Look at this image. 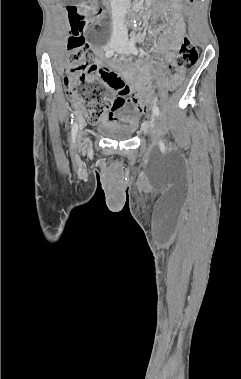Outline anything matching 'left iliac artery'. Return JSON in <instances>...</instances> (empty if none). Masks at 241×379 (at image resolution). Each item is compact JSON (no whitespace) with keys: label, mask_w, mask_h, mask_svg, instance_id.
<instances>
[{"label":"left iliac artery","mask_w":241,"mask_h":379,"mask_svg":"<svg viewBox=\"0 0 241 379\" xmlns=\"http://www.w3.org/2000/svg\"><path fill=\"white\" fill-rule=\"evenodd\" d=\"M135 43H136V36L135 34H133L131 40H130V43H129V49H130V52L133 53V54H138V50L135 46ZM153 113L155 116H158L159 115V108L158 106L154 105L153 106ZM161 145L164 146V143L161 141Z\"/></svg>","instance_id":"obj_1"}]
</instances>
